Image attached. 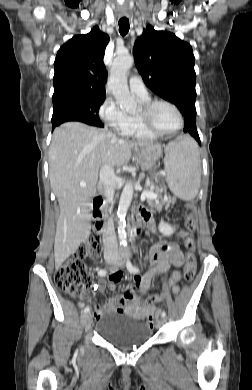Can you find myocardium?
I'll return each instance as SVG.
<instances>
[{
  "label": "myocardium",
  "instance_id": "obj_1",
  "mask_svg": "<svg viewBox=\"0 0 252 390\" xmlns=\"http://www.w3.org/2000/svg\"><path fill=\"white\" fill-rule=\"evenodd\" d=\"M158 104H166L169 107H171L175 113L177 114L178 117V125L169 131H161L158 130L154 127L151 115L153 110ZM137 118L139 120V123L141 127L149 134L153 136H168V135H173L180 131L183 127L184 124V118L183 115L180 111V109L172 102L165 100V99H155V100H150L147 103H144L141 109V112L137 115Z\"/></svg>",
  "mask_w": 252,
  "mask_h": 390
}]
</instances>
